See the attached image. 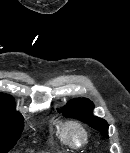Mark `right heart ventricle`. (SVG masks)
Here are the masks:
<instances>
[{
  "instance_id": "right-heart-ventricle-1",
  "label": "right heart ventricle",
  "mask_w": 130,
  "mask_h": 153,
  "mask_svg": "<svg viewBox=\"0 0 130 153\" xmlns=\"http://www.w3.org/2000/svg\"><path fill=\"white\" fill-rule=\"evenodd\" d=\"M56 136H57V138L59 139V141H60L62 144L71 147V146L68 144V142H67V140H66V138H65V135H64V132H63V125H62V124L57 126V128H56Z\"/></svg>"
}]
</instances>
